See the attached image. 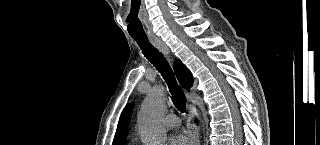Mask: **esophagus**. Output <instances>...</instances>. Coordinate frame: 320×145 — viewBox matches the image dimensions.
Masks as SVG:
<instances>
[{"instance_id": "34e87169", "label": "esophagus", "mask_w": 320, "mask_h": 145, "mask_svg": "<svg viewBox=\"0 0 320 145\" xmlns=\"http://www.w3.org/2000/svg\"><path fill=\"white\" fill-rule=\"evenodd\" d=\"M151 42L158 47L164 54L168 55V48L158 39L151 38ZM188 118H187V128H188V137L190 145H199L200 139L198 134L197 126L194 123V109L192 108L191 102L188 104Z\"/></svg>"}]
</instances>
